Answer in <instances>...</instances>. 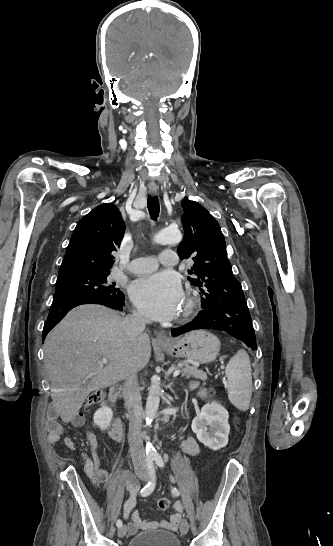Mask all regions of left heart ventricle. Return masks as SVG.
<instances>
[{
  "mask_svg": "<svg viewBox=\"0 0 333 546\" xmlns=\"http://www.w3.org/2000/svg\"><path fill=\"white\" fill-rule=\"evenodd\" d=\"M183 307H184V302L182 303V306H181L180 312L182 311Z\"/></svg>",
  "mask_w": 333,
  "mask_h": 546,
  "instance_id": "b2bd125f",
  "label": "left heart ventricle"
}]
</instances>
